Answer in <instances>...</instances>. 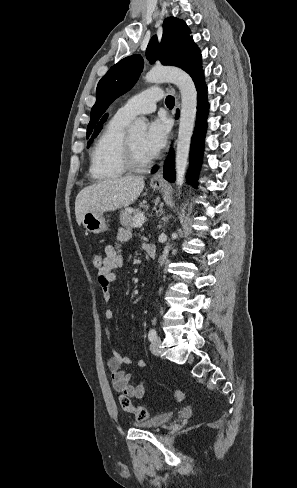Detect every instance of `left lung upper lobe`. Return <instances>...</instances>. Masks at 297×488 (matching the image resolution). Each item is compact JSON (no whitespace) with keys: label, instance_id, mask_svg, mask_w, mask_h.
<instances>
[{"label":"left lung upper lobe","instance_id":"left-lung-upper-lobe-1","mask_svg":"<svg viewBox=\"0 0 297 488\" xmlns=\"http://www.w3.org/2000/svg\"><path fill=\"white\" fill-rule=\"evenodd\" d=\"M150 63L159 59L164 65L177 66L192 78L200 72L201 55L189 29L183 20L170 17L163 23V36L159 46L157 36H153L146 50ZM144 66L140 55H132L120 60L101 78L96 90V103L92 107L87 137L91 134L96 122L106 111L110 103L123 95L138 80Z\"/></svg>","mask_w":297,"mask_h":488}]
</instances>
